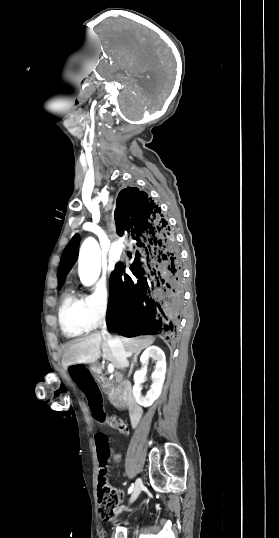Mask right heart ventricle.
I'll return each instance as SVG.
<instances>
[{"label": "right heart ventricle", "mask_w": 279, "mask_h": 538, "mask_svg": "<svg viewBox=\"0 0 279 538\" xmlns=\"http://www.w3.org/2000/svg\"><path fill=\"white\" fill-rule=\"evenodd\" d=\"M54 222L55 224L61 222L58 213L54 215ZM92 228L90 225L85 229L91 230ZM58 318L61 330L67 337L78 336L89 331L91 328L86 316V297L75 294L72 288L68 289L59 305Z\"/></svg>", "instance_id": "obj_1"}]
</instances>
